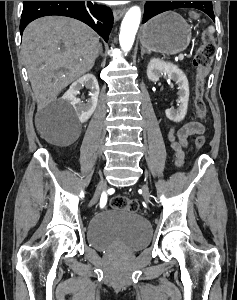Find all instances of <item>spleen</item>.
Instances as JSON below:
<instances>
[{
    "label": "spleen",
    "instance_id": "1",
    "mask_svg": "<svg viewBox=\"0 0 237 300\" xmlns=\"http://www.w3.org/2000/svg\"><path fill=\"white\" fill-rule=\"evenodd\" d=\"M208 31H209V33H215L214 27H208Z\"/></svg>",
    "mask_w": 237,
    "mask_h": 300
}]
</instances>
